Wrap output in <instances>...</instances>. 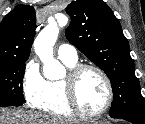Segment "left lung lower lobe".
Returning <instances> with one entry per match:
<instances>
[{"mask_svg":"<svg viewBox=\"0 0 145 124\" xmlns=\"http://www.w3.org/2000/svg\"><path fill=\"white\" fill-rule=\"evenodd\" d=\"M121 119L127 120L133 124H145V121L142 120H137V119H132V118H126V117H122Z\"/></svg>","mask_w":145,"mask_h":124,"instance_id":"1","label":"left lung lower lobe"}]
</instances>
